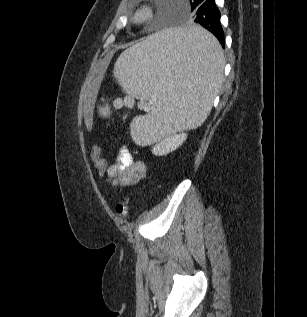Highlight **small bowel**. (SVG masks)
I'll list each match as a JSON object with an SVG mask.
<instances>
[{"label":"small bowel","mask_w":307,"mask_h":317,"mask_svg":"<svg viewBox=\"0 0 307 317\" xmlns=\"http://www.w3.org/2000/svg\"><path fill=\"white\" fill-rule=\"evenodd\" d=\"M147 170L145 162L135 161L127 146H122L115 162L107 168L106 175L112 185L128 188L143 179Z\"/></svg>","instance_id":"obj_1"}]
</instances>
